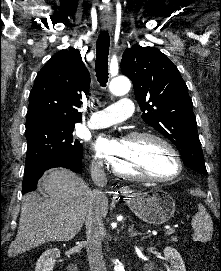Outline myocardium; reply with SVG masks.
<instances>
[{"instance_id":"1","label":"myocardium","mask_w":221,"mask_h":271,"mask_svg":"<svg viewBox=\"0 0 221 271\" xmlns=\"http://www.w3.org/2000/svg\"><path fill=\"white\" fill-rule=\"evenodd\" d=\"M167 140L171 139L152 130H148L143 133H129L128 137L125 138L126 142H133L132 145H137L139 142H154L155 145H158L156 147L158 150H168L167 156L170 159L167 160V163L172 166V170H174L172 173L162 176L152 175L151 177L145 173H122L119 164L114 160V158H109L108 160L109 163L107 166L109 171H113V175L121 176V179L148 178V183H167V178L179 177L183 170H181V165H178L179 160L176 159L178 153L177 150H170L172 149V145L171 142H167Z\"/></svg>"}]
</instances>
